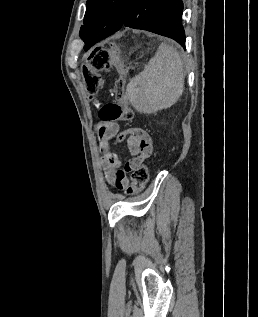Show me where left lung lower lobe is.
Returning <instances> with one entry per match:
<instances>
[{"instance_id": "obj_1", "label": "left lung lower lobe", "mask_w": 258, "mask_h": 317, "mask_svg": "<svg viewBox=\"0 0 258 317\" xmlns=\"http://www.w3.org/2000/svg\"><path fill=\"white\" fill-rule=\"evenodd\" d=\"M182 0H131L121 27L100 26L82 39L85 50L123 27L150 31L177 41L185 49Z\"/></svg>"}]
</instances>
